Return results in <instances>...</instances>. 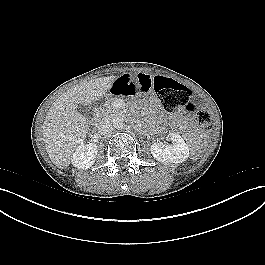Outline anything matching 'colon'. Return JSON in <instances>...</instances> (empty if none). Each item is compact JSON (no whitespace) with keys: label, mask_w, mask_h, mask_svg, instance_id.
I'll return each instance as SVG.
<instances>
[{"label":"colon","mask_w":265,"mask_h":265,"mask_svg":"<svg viewBox=\"0 0 265 265\" xmlns=\"http://www.w3.org/2000/svg\"><path fill=\"white\" fill-rule=\"evenodd\" d=\"M153 88L165 110L173 111L177 107H185L195 111V120L202 128L211 127L209 110L205 107H196L191 102L192 93L187 87L173 79L157 76L154 78Z\"/></svg>","instance_id":"5ec220e1"}]
</instances>
